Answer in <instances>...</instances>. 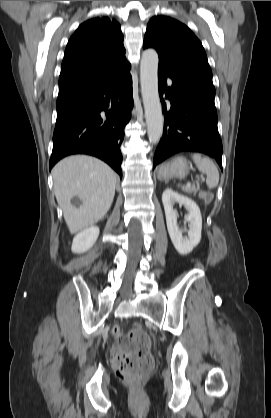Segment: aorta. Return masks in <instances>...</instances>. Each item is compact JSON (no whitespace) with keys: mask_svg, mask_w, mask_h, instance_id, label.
Returning <instances> with one entry per match:
<instances>
[{"mask_svg":"<svg viewBox=\"0 0 271 418\" xmlns=\"http://www.w3.org/2000/svg\"><path fill=\"white\" fill-rule=\"evenodd\" d=\"M158 54L154 49L142 53L140 63L141 92L150 143L156 144L163 134V115L158 92Z\"/></svg>","mask_w":271,"mask_h":418,"instance_id":"obj_1","label":"aorta"}]
</instances>
